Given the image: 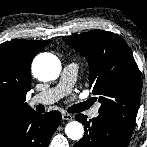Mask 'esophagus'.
I'll list each match as a JSON object with an SVG mask.
<instances>
[{"mask_svg":"<svg viewBox=\"0 0 147 147\" xmlns=\"http://www.w3.org/2000/svg\"><path fill=\"white\" fill-rule=\"evenodd\" d=\"M62 119L71 121V120H73V115L64 113V114H62Z\"/></svg>","mask_w":147,"mask_h":147,"instance_id":"esophagus-1","label":"esophagus"}]
</instances>
